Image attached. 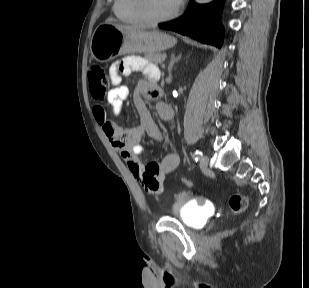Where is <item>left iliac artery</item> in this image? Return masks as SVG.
<instances>
[{"label": "left iliac artery", "instance_id": "1", "mask_svg": "<svg viewBox=\"0 0 309 288\" xmlns=\"http://www.w3.org/2000/svg\"><path fill=\"white\" fill-rule=\"evenodd\" d=\"M203 156V153L200 150H196L193 154L192 157L193 159L197 162V161H201Z\"/></svg>", "mask_w": 309, "mask_h": 288}]
</instances>
